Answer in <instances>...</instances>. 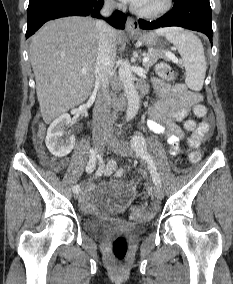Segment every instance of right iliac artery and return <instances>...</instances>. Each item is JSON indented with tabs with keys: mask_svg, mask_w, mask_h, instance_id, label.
Listing matches in <instances>:
<instances>
[{
	"mask_svg": "<svg viewBox=\"0 0 233 284\" xmlns=\"http://www.w3.org/2000/svg\"><path fill=\"white\" fill-rule=\"evenodd\" d=\"M98 157H100V156L98 154H96V151L91 149L90 150V158H89V161H88L87 166H86V172L87 173H91L95 169V162H96V159ZM99 168H103V167H99ZM79 191H80L79 185H75L73 187V192L78 193Z\"/></svg>",
	"mask_w": 233,
	"mask_h": 284,
	"instance_id": "1",
	"label": "right iliac artery"
}]
</instances>
